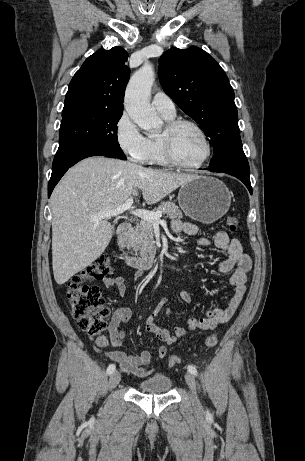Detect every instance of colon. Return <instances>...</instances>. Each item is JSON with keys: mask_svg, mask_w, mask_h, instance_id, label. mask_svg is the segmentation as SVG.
I'll use <instances>...</instances> for the list:
<instances>
[{"mask_svg": "<svg viewBox=\"0 0 305 461\" xmlns=\"http://www.w3.org/2000/svg\"><path fill=\"white\" fill-rule=\"evenodd\" d=\"M230 231L238 230L239 222L236 217H228L226 220ZM112 273L111 259L108 255H100L81 272L71 276L65 283L66 297L70 305L72 315L78 326L85 332L96 335L103 332L107 326L109 308L101 290L96 285L87 284V281L100 280ZM216 334H210L206 338V345L213 347L217 344ZM181 362L178 356L172 355L168 360L169 367H174Z\"/></svg>", "mask_w": 305, "mask_h": 461, "instance_id": "colon-1", "label": "colon"}]
</instances>
